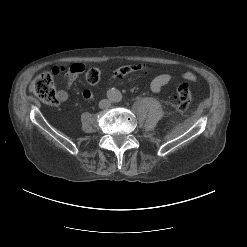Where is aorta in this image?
I'll return each mask as SVG.
<instances>
[{"instance_id": "obj_1", "label": "aorta", "mask_w": 247, "mask_h": 247, "mask_svg": "<svg viewBox=\"0 0 247 247\" xmlns=\"http://www.w3.org/2000/svg\"><path fill=\"white\" fill-rule=\"evenodd\" d=\"M107 96L112 102H119L122 99V94L119 90L112 88L107 91Z\"/></svg>"}]
</instances>
